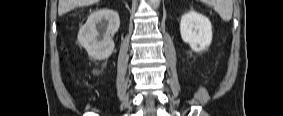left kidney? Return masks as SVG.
<instances>
[{
  "label": "left kidney",
  "mask_w": 283,
  "mask_h": 116,
  "mask_svg": "<svg viewBox=\"0 0 283 116\" xmlns=\"http://www.w3.org/2000/svg\"><path fill=\"white\" fill-rule=\"evenodd\" d=\"M180 34L193 51H204L212 41V25L207 17L191 10L181 17Z\"/></svg>",
  "instance_id": "1"
}]
</instances>
